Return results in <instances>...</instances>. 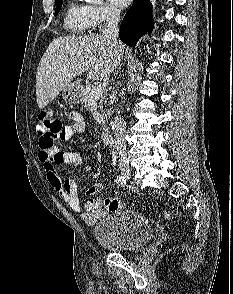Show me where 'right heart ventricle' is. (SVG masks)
I'll list each match as a JSON object with an SVG mask.
<instances>
[{
    "instance_id": "e07e8e85",
    "label": "right heart ventricle",
    "mask_w": 233,
    "mask_h": 294,
    "mask_svg": "<svg viewBox=\"0 0 233 294\" xmlns=\"http://www.w3.org/2000/svg\"><path fill=\"white\" fill-rule=\"evenodd\" d=\"M65 28L74 34H83L91 28V19L86 5L70 0L64 14Z\"/></svg>"
}]
</instances>
